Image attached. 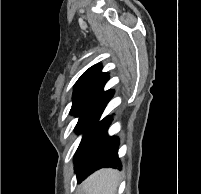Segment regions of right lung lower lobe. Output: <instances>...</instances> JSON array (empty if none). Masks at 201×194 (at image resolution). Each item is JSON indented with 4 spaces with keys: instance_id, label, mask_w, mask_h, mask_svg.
<instances>
[{
    "instance_id": "obj_1",
    "label": "right lung lower lobe",
    "mask_w": 201,
    "mask_h": 194,
    "mask_svg": "<svg viewBox=\"0 0 201 194\" xmlns=\"http://www.w3.org/2000/svg\"><path fill=\"white\" fill-rule=\"evenodd\" d=\"M113 94L114 91L112 90L107 92L97 100L87 104L78 115L79 121L75 130L77 133H84L74 157L78 183L99 168L113 166L121 168L117 154L119 139L107 135L111 117L99 121Z\"/></svg>"
}]
</instances>
